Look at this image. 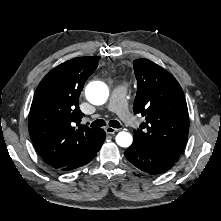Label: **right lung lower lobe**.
<instances>
[{
    "mask_svg": "<svg viewBox=\"0 0 221 221\" xmlns=\"http://www.w3.org/2000/svg\"><path fill=\"white\" fill-rule=\"evenodd\" d=\"M105 132L103 129L100 130V134H99V139L97 141V145L95 146V148L92 150V152L72 163H70L69 165L61 168L60 170L62 171H70V170H73V169H77L83 165H86L88 164L97 154V152L99 151V149L101 148L104 140H105Z\"/></svg>",
    "mask_w": 221,
    "mask_h": 221,
    "instance_id": "obj_1",
    "label": "right lung lower lobe"
}]
</instances>
